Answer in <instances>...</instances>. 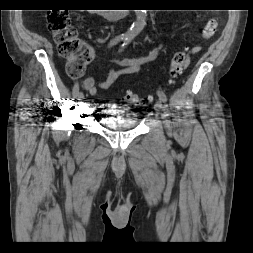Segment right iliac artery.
I'll return each instance as SVG.
<instances>
[{"label":"right iliac artery","instance_id":"82829eb1","mask_svg":"<svg viewBox=\"0 0 253 253\" xmlns=\"http://www.w3.org/2000/svg\"><path fill=\"white\" fill-rule=\"evenodd\" d=\"M120 40H122V38L116 37L115 39H113V40L109 43V46H113V45L117 44ZM78 94H79V85H78V84H75L74 87H73V96H74V97H77Z\"/></svg>","mask_w":253,"mask_h":253}]
</instances>
